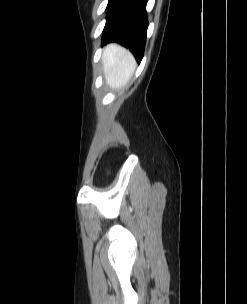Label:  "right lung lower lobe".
<instances>
[{
    "mask_svg": "<svg viewBox=\"0 0 247 304\" xmlns=\"http://www.w3.org/2000/svg\"><path fill=\"white\" fill-rule=\"evenodd\" d=\"M147 1L109 0L102 46L109 42H118L129 48L137 62L140 63L144 53L148 27Z\"/></svg>",
    "mask_w": 247,
    "mask_h": 304,
    "instance_id": "1",
    "label": "right lung lower lobe"
}]
</instances>
